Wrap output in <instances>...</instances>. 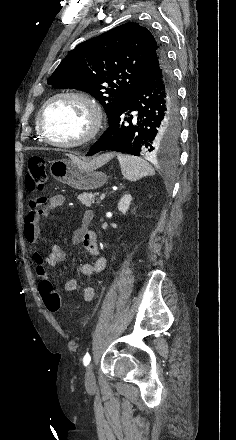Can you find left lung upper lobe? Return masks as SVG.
<instances>
[{"label": "left lung upper lobe", "mask_w": 236, "mask_h": 440, "mask_svg": "<svg viewBox=\"0 0 236 440\" xmlns=\"http://www.w3.org/2000/svg\"><path fill=\"white\" fill-rule=\"evenodd\" d=\"M165 53L152 33L138 23H126L78 45L68 54L48 84L74 88L95 97L109 122L134 91L153 56Z\"/></svg>", "instance_id": "5c2ea615"}]
</instances>
